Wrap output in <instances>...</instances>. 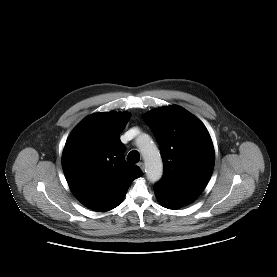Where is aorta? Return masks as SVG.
<instances>
[{
  "instance_id": "1",
  "label": "aorta",
  "mask_w": 277,
  "mask_h": 277,
  "mask_svg": "<svg viewBox=\"0 0 277 277\" xmlns=\"http://www.w3.org/2000/svg\"><path fill=\"white\" fill-rule=\"evenodd\" d=\"M137 146L145 162L147 179L152 183L159 181L163 174V163L158 148L147 134L137 138Z\"/></svg>"
}]
</instances>
